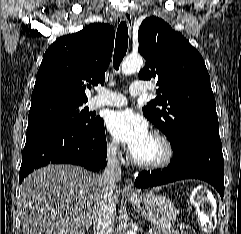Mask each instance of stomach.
<instances>
[{"mask_svg":"<svg viewBox=\"0 0 241 234\" xmlns=\"http://www.w3.org/2000/svg\"><path fill=\"white\" fill-rule=\"evenodd\" d=\"M136 210L158 229L171 228L177 218V208L163 195L150 192L127 197Z\"/></svg>","mask_w":241,"mask_h":234,"instance_id":"obj_1","label":"stomach"}]
</instances>
